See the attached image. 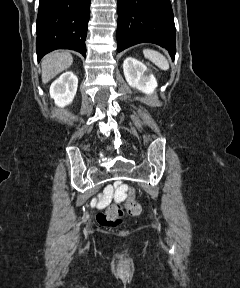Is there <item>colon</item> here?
Masks as SVG:
<instances>
[{"instance_id": "5ec220e1", "label": "colon", "mask_w": 240, "mask_h": 288, "mask_svg": "<svg viewBox=\"0 0 240 288\" xmlns=\"http://www.w3.org/2000/svg\"><path fill=\"white\" fill-rule=\"evenodd\" d=\"M128 194L125 203L126 210L130 215H138L141 211L139 203L135 200L134 189L126 185L124 188ZM124 219V210L121 204L114 203L108 206L102 213L98 214L97 221L104 227H114L121 223Z\"/></svg>"}]
</instances>
